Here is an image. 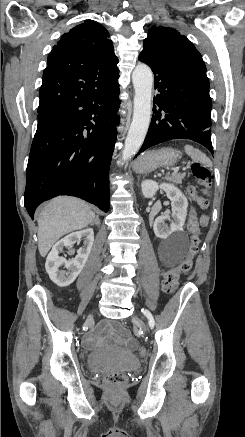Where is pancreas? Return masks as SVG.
I'll use <instances>...</instances> for the list:
<instances>
[{"label":"pancreas","instance_id":"cf45deb5","mask_svg":"<svg viewBox=\"0 0 245 437\" xmlns=\"http://www.w3.org/2000/svg\"><path fill=\"white\" fill-rule=\"evenodd\" d=\"M184 176H185V174L173 173L171 176H167L166 180H168L172 183H175V184H181Z\"/></svg>","mask_w":245,"mask_h":437}]
</instances>
